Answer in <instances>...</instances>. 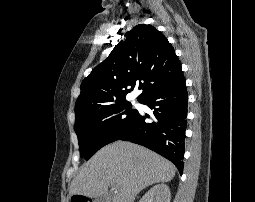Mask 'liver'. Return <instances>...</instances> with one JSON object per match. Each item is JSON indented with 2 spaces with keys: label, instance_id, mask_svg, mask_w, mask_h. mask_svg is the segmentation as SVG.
Instances as JSON below:
<instances>
[{
  "label": "liver",
  "instance_id": "obj_1",
  "mask_svg": "<svg viewBox=\"0 0 255 202\" xmlns=\"http://www.w3.org/2000/svg\"><path fill=\"white\" fill-rule=\"evenodd\" d=\"M175 166L145 147L116 141L100 149L71 182L69 194L97 198L112 185V202H134L137 194L155 183L169 182Z\"/></svg>",
  "mask_w": 255,
  "mask_h": 202
}]
</instances>
